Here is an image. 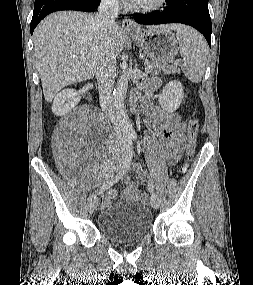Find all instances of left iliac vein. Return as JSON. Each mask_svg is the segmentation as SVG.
<instances>
[{
  "mask_svg": "<svg viewBox=\"0 0 253 285\" xmlns=\"http://www.w3.org/2000/svg\"><path fill=\"white\" fill-rule=\"evenodd\" d=\"M151 207L157 209L159 207V198L155 193H152L150 198Z\"/></svg>",
  "mask_w": 253,
  "mask_h": 285,
  "instance_id": "left-iliac-vein-1",
  "label": "left iliac vein"
}]
</instances>
